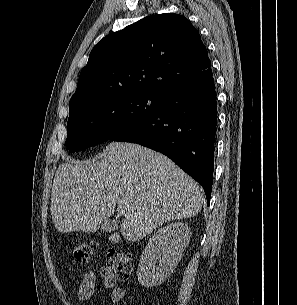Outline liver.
Here are the masks:
<instances>
[{"mask_svg":"<svg viewBox=\"0 0 297 305\" xmlns=\"http://www.w3.org/2000/svg\"><path fill=\"white\" fill-rule=\"evenodd\" d=\"M99 158L58 167L50 206L58 232H94L122 207L126 213L120 233L137 241L164 223L201 211V187L166 156L137 144L112 142ZM120 233L109 240L118 243Z\"/></svg>","mask_w":297,"mask_h":305,"instance_id":"obj_1","label":"liver"}]
</instances>
